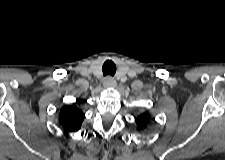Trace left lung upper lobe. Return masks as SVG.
Wrapping results in <instances>:
<instances>
[{
    "instance_id": "left-lung-upper-lobe-1",
    "label": "left lung upper lobe",
    "mask_w": 225,
    "mask_h": 160,
    "mask_svg": "<svg viewBox=\"0 0 225 160\" xmlns=\"http://www.w3.org/2000/svg\"><path fill=\"white\" fill-rule=\"evenodd\" d=\"M137 129L142 130L146 127L149 122V115L147 113H143L139 115L136 119Z\"/></svg>"
}]
</instances>
